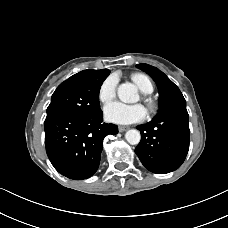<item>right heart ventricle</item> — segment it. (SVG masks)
<instances>
[{
	"mask_svg": "<svg viewBox=\"0 0 228 228\" xmlns=\"http://www.w3.org/2000/svg\"><path fill=\"white\" fill-rule=\"evenodd\" d=\"M131 78L142 93L151 94L153 92V84L146 75L141 73H135L131 76Z\"/></svg>",
	"mask_w": 228,
	"mask_h": 228,
	"instance_id": "e07e8e85",
	"label": "right heart ventricle"
}]
</instances>
